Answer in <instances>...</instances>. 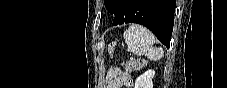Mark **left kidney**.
<instances>
[{
  "label": "left kidney",
  "mask_w": 227,
  "mask_h": 88,
  "mask_svg": "<svg viewBox=\"0 0 227 88\" xmlns=\"http://www.w3.org/2000/svg\"><path fill=\"white\" fill-rule=\"evenodd\" d=\"M154 75H155V71L149 69L148 71H146L136 79L134 87L135 88H153L152 79Z\"/></svg>",
  "instance_id": "5707ae66"
}]
</instances>
